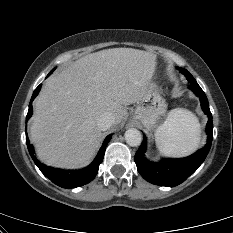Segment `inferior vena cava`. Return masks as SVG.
Wrapping results in <instances>:
<instances>
[{"mask_svg": "<svg viewBox=\"0 0 233 233\" xmlns=\"http://www.w3.org/2000/svg\"><path fill=\"white\" fill-rule=\"evenodd\" d=\"M115 123L114 116L106 112L103 115L100 116V118L97 121V126L101 131H105L109 129L113 124Z\"/></svg>", "mask_w": 233, "mask_h": 233, "instance_id": "obj_1", "label": "inferior vena cava"}]
</instances>
